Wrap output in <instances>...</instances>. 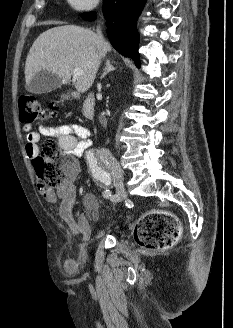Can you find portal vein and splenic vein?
<instances>
[{
    "instance_id": "1",
    "label": "portal vein and splenic vein",
    "mask_w": 233,
    "mask_h": 328,
    "mask_svg": "<svg viewBox=\"0 0 233 328\" xmlns=\"http://www.w3.org/2000/svg\"><path fill=\"white\" fill-rule=\"evenodd\" d=\"M74 75H80L83 74V70L80 67H76L73 69Z\"/></svg>"
}]
</instances>
